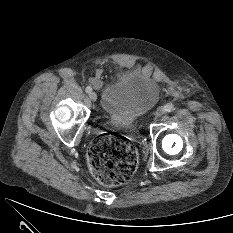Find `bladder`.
I'll return each instance as SVG.
<instances>
[{"label":"bladder","mask_w":233,"mask_h":233,"mask_svg":"<svg viewBox=\"0 0 233 233\" xmlns=\"http://www.w3.org/2000/svg\"><path fill=\"white\" fill-rule=\"evenodd\" d=\"M160 85L138 69L127 70L102 87L100 106L112 120L130 123L158 102Z\"/></svg>","instance_id":"1"}]
</instances>
